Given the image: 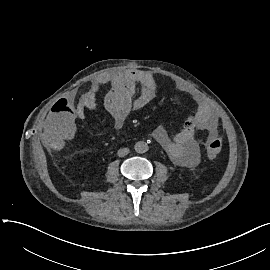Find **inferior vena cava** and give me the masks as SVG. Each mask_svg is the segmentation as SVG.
Returning a JSON list of instances; mask_svg holds the SVG:
<instances>
[{
    "label": "inferior vena cava",
    "instance_id": "inferior-vena-cava-1",
    "mask_svg": "<svg viewBox=\"0 0 270 270\" xmlns=\"http://www.w3.org/2000/svg\"><path fill=\"white\" fill-rule=\"evenodd\" d=\"M128 153H129V149H128V148H122V149H119V150H118L117 155H118L119 157H124V156H126Z\"/></svg>",
    "mask_w": 270,
    "mask_h": 270
}]
</instances>
